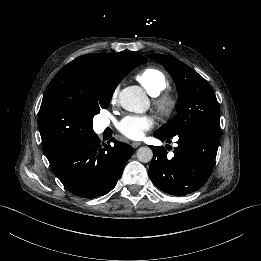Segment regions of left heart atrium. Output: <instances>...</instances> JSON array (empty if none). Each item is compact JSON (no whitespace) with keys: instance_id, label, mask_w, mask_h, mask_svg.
<instances>
[{"instance_id":"39dd6f15","label":"left heart atrium","mask_w":261,"mask_h":261,"mask_svg":"<svg viewBox=\"0 0 261 261\" xmlns=\"http://www.w3.org/2000/svg\"><path fill=\"white\" fill-rule=\"evenodd\" d=\"M154 126L153 119L148 116H128L118 125V131L130 140H141Z\"/></svg>"}]
</instances>
